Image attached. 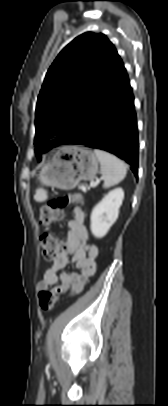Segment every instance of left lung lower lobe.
Returning <instances> with one entry per match:
<instances>
[{
    "label": "left lung lower lobe",
    "mask_w": 168,
    "mask_h": 406,
    "mask_svg": "<svg viewBox=\"0 0 168 406\" xmlns=\"http://www.w3.org/2000/svg\"><path fill=\"white\" fill-rule=\"evenodd\" d=\"M64 144L86 145L108 151L130 164L137 177V119L132 89L122 62L80 131Z\"/></svg>",
    "instance_id": "0a47b994"
}]
</instances>
